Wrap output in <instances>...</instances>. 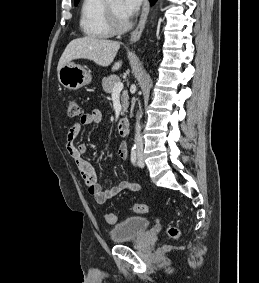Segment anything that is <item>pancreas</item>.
I'll list each match as a JSON object with an SVG mask.
<instances>
[{
  "label": "pancreas",
  "instance_id": "cf45deb5",
  "mask_svg": "<svg viewBox=\"0 0 259 283\" xmlns=\"http://www.w3.org/2000/svg\"><path fill=\"white\" fill-rule=\"evenodd\" d=\"M120 82V78L117 75H110L108 77H104L102 80V87L103 90L106 93H112L113 92V88L115 86L116 83ZM128 92L127 91H123L122 95H121V101H122V111H121V115H124V113L127 111L128 108Z\"/></svg>",
  "mask_w": 259,
  "mask_h": 283
}]
</instances>
